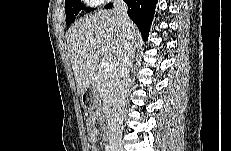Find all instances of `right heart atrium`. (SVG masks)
<instances>
[{
    "mask_svg": "<svg viewBox=\"0 0 231 151\" xmlns=\"http://www.w3.org/2000/svg\"><path fill=\"white\" fill-rule=\"evenodd\" d=\"M106 1L103 0H91L89 1V3H91L92 5H101L104 4Z\"/></svg>",
    "mask_w": 231,
    "mask_h": 151,
    "instance_id": "1",
    "label": "right heart atrium"
}]
</instances>
